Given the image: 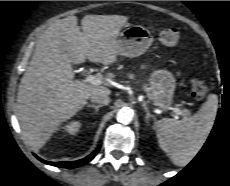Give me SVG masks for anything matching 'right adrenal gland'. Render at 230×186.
Wrapping results in <instances>:
<instances>
[{"mask_svg": "<svg viewBox=\"0 0 230 186\" xmlns=\"http://www.w3.org/2000/svg\"><path fill=\"white\" fill-rule=\"evenodd\" d=\"M87 107L93 108L95 109V114L98 113L99 108L102 107V105H92V104H88Z\"/></svg>", "mask_w": 230, "mask_h": 186, "instance_id": "right-adrenal-gland-1", "label": "right adrenal gland"}]
</instances>
